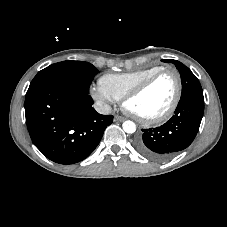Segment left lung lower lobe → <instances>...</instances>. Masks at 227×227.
<instances>
[{"mask_svg":"<svg viewBox=\"0 0 227 227\" xmlns=\"http://www.w3.org/2000/svg\"><path fill=\"white\" fill-rule=\"evenodd\" d=\"M203 100V94L199 93L182 96L169 121L156 128L142 129L135 141L136 150L149 159L161 161L187 148L199 130Z\"/></svg>","mask_w":227,"mask_h":227,"instance_id":"0a47b994","label":"left lung lower lobe"}]
</instances>
